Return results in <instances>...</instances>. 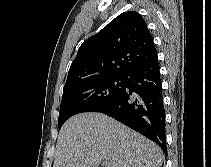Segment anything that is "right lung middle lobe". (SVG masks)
Listing matches in <instances>:
<instances>
[{
  "instance_id": "obj_1",
  "label": "right lung middle lobe",
  "mask_w": 211,
  "mask_h": 167,
  "mask_svg": "<svg viewBox=\"0 0 211 167\" xmlns=\"http://www.w3.org/2000/svg\"><path fill=\"white\" fill-rule=\"evenodd\" d=\"M124 89V76L99 77L63 89L58 118L59 129L71 116L97 111L113 101Z\"/></svg>"
}]
</instances>
